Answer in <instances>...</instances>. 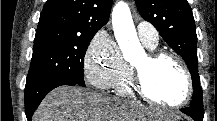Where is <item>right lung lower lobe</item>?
<instances>
[{
	"label": "right lung lower lobe",
	"instance_id": "98d812e1",
	"mask_svg": "<svg viewBox=\"0 0 217 121\" xmlns=\"http://www.w3.org/2000/svg\"><path fill=\"white\" fill-rule=\"evenodd\" d=\"M61 85H78L76 81L65 76H52L41 79L25 87V113L30 121L40 102L52 89Z\"/></svg>",
	"mask_w": 217,
	"mask_h": 121
}]
</instances>
